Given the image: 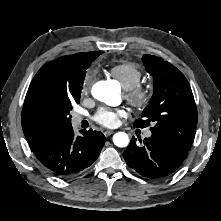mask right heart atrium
Here are the masks:
<instances>
[{
  "mask_svg": "<svg viewBox=\"0 0 221 221\" xmlns=\"http://www.w3.org/2000/svg\"><path fill=\"white\" fill-rule=\"evenodd\" d=\"M93 74L92 73H88L84 80H83V83H82V94H88L89 90H90V87H91V84H92V81H93Z\"/></svg>",
  "mask_w": 221,
  "mask_h": 221,
  "instance_id": "1",
  "label": "right heart atrium"
}]
</instances>
